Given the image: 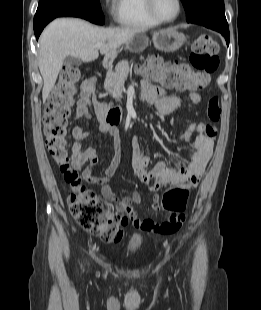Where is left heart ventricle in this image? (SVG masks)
Returning a JSON list of instances; mask_svg holds the SVG:
<instances>
[{"instance_id": "left-heart-ventricle-1", "label": "left heart ventricle", "mask_w": 261, "mask_h": 310, "mask_svg": "<svg viewBox=\"0 0 261 310\" xmlns=\"http://www.w3.org/2000/svg\"><path fill=\"white\" fill-rule=\"evenodd\" d=\"M157 14L165 19L172 18L177 12L176 0H154Z\"/></svg>"}]
</instances>
